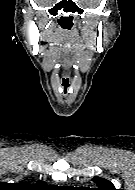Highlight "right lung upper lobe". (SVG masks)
Here are the masks:
<instances>
[{"mask_svg": "<svg viewBox=\"0 0 135 190\" xmlns=\"http://www.w3.org/2000/svg\"><path fill=\"white\" fill-rule=\"evenodd\" d=\"M19 190H42L47 187L45 182L38 181L36 184H29L26 182L17 183L15 186Z\"/></svg>", "mask_w": 135, "mask_h": 190, "instance_id": "right-lung-upper-lobe-1", "label": "right lung upper lobe"}]
</instances>
